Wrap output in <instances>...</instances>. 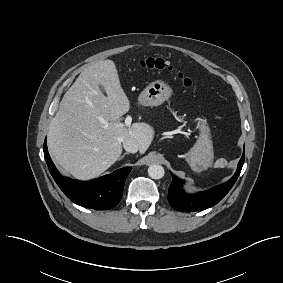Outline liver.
Returning <instances> with one entry per match:
<instances>
[{
  "instance_id": "6515ba94",
  "label": "liver",
  "mask_w": 283,
  "mask_h": 283,
  "mask_svg": "<svg viewBox=\"0 0 283 283\" xmlns=\"http://www.w3.org/2000/svg\"><path fill=\"white\" fill-rule=\"evenodd\" d=\"M129 109V99L112 60H102L85 69L64 94L50 122L48 149L54 162L75 178L88 180L120 158L124 139L135 140L140 153H145L154 138V129L140 122L130 127L118 126Z\"/></svg>"
}]
</instances>
